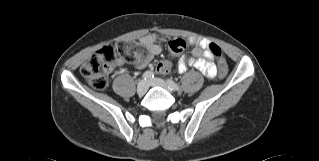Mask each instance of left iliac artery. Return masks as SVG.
I'll use <instances>...</instances> for the list:
<instances>
[{
  "mask_svg": "<svg viewBox=\"0 0 319 161\" xmlns=\"http://www.w3.org/2000/svg\"><path fill=\"white\" fill-rule=\"evenodd\" d=\"M167 83L169 87L171 88V90L178 91L180 89L179 85L175 83L174 81H172L171 79H168Z\"/></svg>",
  "mask_w": 319,
  "mask_h": 161,
  "instance_id": "44dca946",
  "label": "left iliac artery"
}]
</instances>
